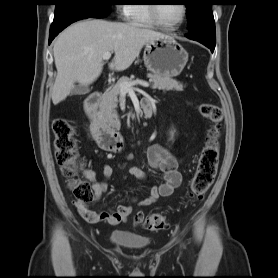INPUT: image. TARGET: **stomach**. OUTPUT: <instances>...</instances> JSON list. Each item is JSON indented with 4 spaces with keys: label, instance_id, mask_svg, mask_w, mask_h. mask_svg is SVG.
<instances>
[{
    "label": "stomach",
    "instance_id": "1",
    "mask_svg": "<svg viewBox=\"0 0 278 278\" xmlns=\"http://www.w3.org/2000/svg\"><path fill=\"white\" fill-rule=\"evenodd\" d=\"M143 60L151 73L176 77L186 65L188 53L173 37L165 35L145 44Z\"/></svg>",
    "mask_w": 278,
    "mask_h": 278
}]
</instances>
